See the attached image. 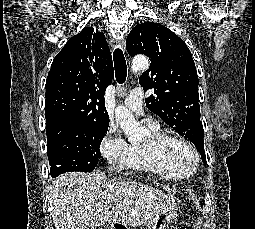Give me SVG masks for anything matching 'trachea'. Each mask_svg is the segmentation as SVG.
<instances>
[{"label": "trachea", "instance_id": "3493384b", "mask_svg": "<svg viewBox=\"0 0 255 229\" xmlns=\"http://www.w3.org/2000/svg\"><path fill=\"white\" fill-rule=\"evenodd\" d=\"M115 77L119 84H122L126 80L127 65L123 52L120 48H116L113 52Z\"/></svg>", "mask_w": 255, "mask_h": 229}]
</instances>
